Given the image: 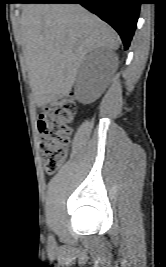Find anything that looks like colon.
Here are the masks:
<instances>
[{
  "label": "colon",
  "instance_id": "colon-1",
  "mask_svg": "<svg viewBox=\"0 0 166 267\" xmlns=\"http://www.w3.org/2000/svg\"><path fill=\"white\" fill-rule=\"evenodd\" d=\"M77 113L75 101L63 98L45 107L39 118L38 128L42 135L41 148L47 173L53 174L64 163L70 141L71 124Z\"/></svg>",
  "mask_w": 166,
  "mask_h": 267
}]
</instances>
